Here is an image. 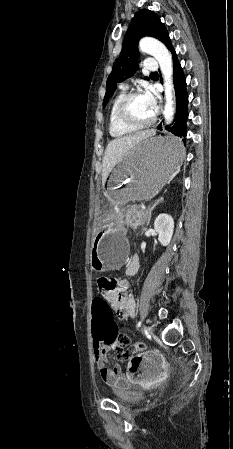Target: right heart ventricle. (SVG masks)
Returning <instances> with one entry per match:
<instances>
[{"instance_id":"1","label":"right heart ventricle","mask_w":233,"mask_h":449,"mask_svg":"<svg viewBox=\"0 0 233 449\" xmlns=\"http://www.w3.org/2000/svg\"><path fill=\"white\" fill-rule=\"evenodd\" d=\"M126 94V89L124 87H121L119 91L114 96L110 108H109V114H108V129L109 133L113 138H121L128 136L135 132L137 129L125 126L122 124L116 114V108L120 101V99Z\"/></svg>"}]
</instances>
